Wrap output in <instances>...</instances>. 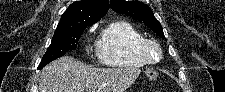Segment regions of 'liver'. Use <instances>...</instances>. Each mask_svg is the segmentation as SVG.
I'll use <instances>...</instances> for the list:
<instances>
[{
  "instance_id": "1",
  "label": "liver",
  "mask_w": 225,
  "mask_h": 92,
  "mask_svg": "<svg viewBox=\"0 0 225 92\" xmlns=\"http://www.w3.org/2000/svg\"><path fill=\"white\" fill-rule=\"evenodd\" d=\"M140 72L137 68H92L65 56L42 69L39 92H125Z\"/></svg>"
}]
</instances>
